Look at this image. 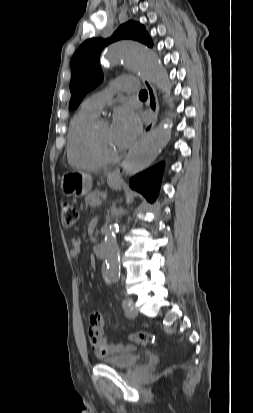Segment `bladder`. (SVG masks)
<instances>
[{
  "label": "bladder",
  "mask_w": 253,
  "mask_h": 413,
  "mask_svg": "<svg viewBox=\"0 0 253 413\" xmlns=\"http://www.w3.org/2000/svg\"><path fill=\"white\" fill-rule=\"evenodd\" d=\"M140 360V355L132 348H124L105 357L103 362L118 369L133 367Z\"/></svg>",
  "instance_id": "31cf9c89"
}]
</instances>
